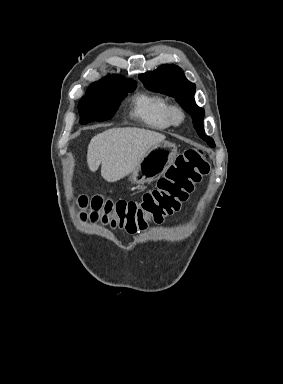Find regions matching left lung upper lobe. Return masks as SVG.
<instances>
[{
  "mask_svg": "<svg viewBox=\"0 0 283 384\" xmlns=\"http://www.w3.org/2000/svg\"><path fill=\"white\" fill-rule=\"evenodd\" d=\"M144 85L154 92L174 97L183 109L192 116L193 125L198 135L210 147H215L211 137L205 135L203 128L204 109L196 105L194 99L195 84L189 82L176 65H163L157 70L139 76Z\"/></svg>",
  "mask_w": 283,
  "mask_h": 384,
  "instance_id": "1",
  "label": "left lung upper lobe"
}]
</instances>
